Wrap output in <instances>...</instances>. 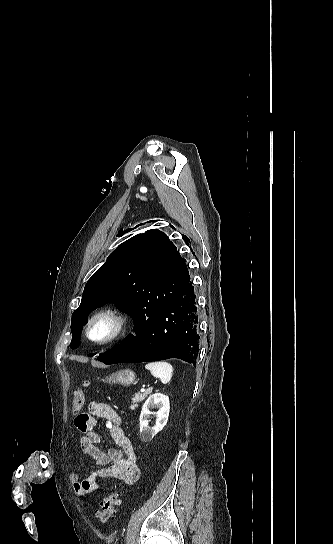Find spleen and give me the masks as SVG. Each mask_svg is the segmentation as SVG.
I'll return each mask as SVG.
<instances>
[{"instance_id":"spleen-1","label":"spleen","mask_w":333,"mask_h":544,"mask_svg":"<svg viewBox=\"0 0 333 544\" xmlns=\"http://www.w3.org/2000/svg\"><path fill=\"white\" fill-rule=\"evenodd\" d=\"M145 368L150 371L152 376L159 378L163 384H167L172 378L173 367L168 362H150L145 365Z\"/></svg>"}]
</instances>
